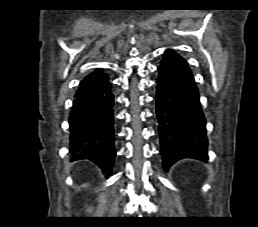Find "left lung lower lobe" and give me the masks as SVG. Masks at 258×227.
I'll use <instances>...</instances> for the list:
<instances>
[{
	"instance_id": "0a47b994",
	"label": "left lung lower lobe",
	"mask_w": 258,
	"mask_h": 227,
	"mask_svg": "<svg viewBox=\"0 0 258 227\" xmlns=\"http://www.w3.org/2000/svg\"><path fill=\"white\" fill-rule=\"evenodd\" d=\"M158 71L155 103L164 169L182 158L206 161V122L186 61L166 50Z\"/></svg>"
}]
</instances>
